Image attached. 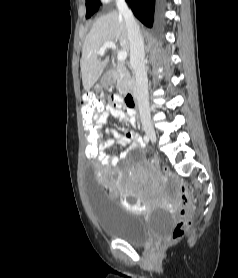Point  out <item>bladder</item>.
Segmentation results:
<instances>
[{
  "label": "bladder",
  "mask_w": 238,
  "mask_h": 278,
  "mask_svg": "<svg viewBox=\"0 0 238 278\" xmlns=\"http://www.w3.org/2000/svg\"><path fill=\"white\" fill-rule=\"evenodd\" d=\"M85 180H96L91 169L84 173ZM89 203L100 231L111 238L120 239L133 245H141L152 236L167 232L174 225V217L158 210L147 219L144 215L127 210L113 198L97 181H86Z\"/></svg>",
  "instance_id": "31cf9c89"
}]
</instances>
